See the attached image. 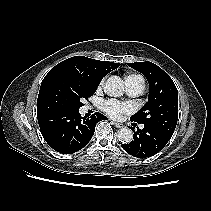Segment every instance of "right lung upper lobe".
<instances>
[{"label": "right lung upper lobe", "mask_w": 211, "mask_h": 211, "mask_svg": "<svg viewBox=\"0 0 211 211\" xmlns=\"http://www.w3.org/2000/svg\"><path fill=\"white\" fill-rule=\"evenodd\" d=\"M119 65V63L95 60L85 56H74L57 64L46 76L60 73L75 77L87 85L98 86L101 79Z\"/></svg>", "instance_id": "right-lung-upper-lobe-1"}]
</instances>
